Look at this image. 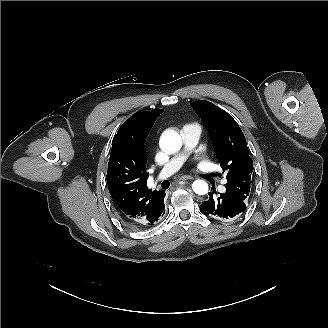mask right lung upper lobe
<instances>
[{"mask_svg":"<svg viewBox=\"0 0 328 328\" xmlns=\"http://www.w3.org/2000/svg\"><path fill=\"white\" fill-rule=\"evenodd\" d=\"M162 109L136 112L119 128L112 140L107 171L110 195L120 216L131 226H144L156 219L164 191L147 187L144 143Z\"/></svg>","mask_w":328,"mask_h":328,"instance_id":"1","label":"right lung upper lobe"}]
</instances>
